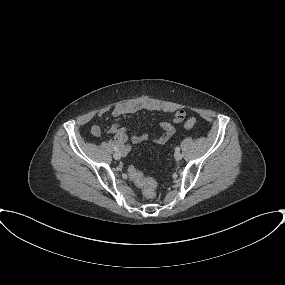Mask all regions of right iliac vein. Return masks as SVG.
I'll list each match as a JSON object with an SVG mask.
<instances>
[{
	"label": "right iliac vein",
	"instance_id": "63e3f726",
	"mask_svg": "<svg viewBox=\"0 0 285 285\" xmlns=\"http://www.w3.org/2000/svg\"><path fill=\"white\" fill-rule=\"evenodd\" d=\"M127 154L123 153V152H119V151H116L114 154H113V157L115 160H119L121 158V156H126Z\"/></svg>",
	"mask_w": 285,
	"mask_h": 285
}]
</instances>
